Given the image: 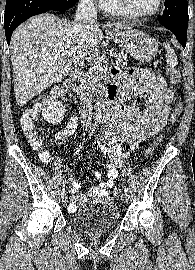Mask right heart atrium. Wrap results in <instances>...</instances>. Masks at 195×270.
Returning <instances> with one entry per match:
<instances>
[{"label": "right heart atrium", "mask_w": 195, "mask_h": 270, "mask_svg": "<svg viewBox=\"0 0 195 270\" xmlns=\"http://www.w3.org/2000/svg\"><path fill=\"white\" fill-rule=\"evenodd\" d=\"M89 1H96V2H99V3L101 4V6H102V4H103V2H104V0H89Z\"/></svg>", "instance_id": "obj_1"}]
</instances>
